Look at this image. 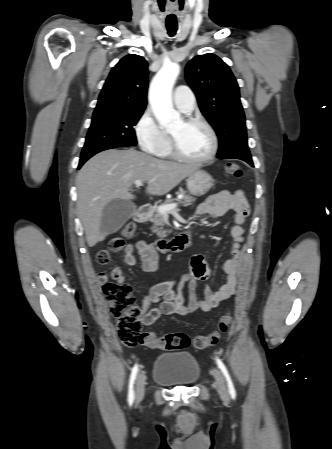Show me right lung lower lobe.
I'll return each mask as SVG.
<instances>
[{
  "label": "right lung lower lobe",
  "mask_w": 332,
  "mask_h": 449,
  "mask_svg": "<svg viewBox=\"0 0 332 449\" xmlns=\"http://www.w3.org/2000/svg\"><path fill=\"white\" fill-rule=\"evenodd\" d=\"M112 148H117V147H105V148L99 149L97 151H94L92 153H87V154L81 155L78 168H80L89 158H91L93 155L97 154L98 152H101V151H104L107 149H112Z\"/></svg>",
  "instance_id": "right-lung-lower-lobe-1"
}]
</instances>
